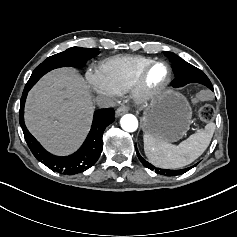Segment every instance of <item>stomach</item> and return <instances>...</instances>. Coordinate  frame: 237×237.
<instances>
[{
    "label": "stomach",
    "mask_w": 237,
    "mask_h": 237,
    "mask_svg": "<svg viewBox=\"0 0 237 237\" xmlns=\"http://www.w3.org/2000/svg\"><path fill=\"white\" fill-rule=\"evenodd\" d=\"M190 118L191 109L186 99L168 90L148 102L141 127L145 133L172 143L185 136Z\"/></svg>",
    "instance_id": "1"
}]
</instances>
